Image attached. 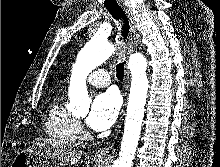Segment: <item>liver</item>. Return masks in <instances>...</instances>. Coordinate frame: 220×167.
<instances>
[{
	"instance_id": "liver-1",
	"label": "liver",
	"mask_w": 220,
	"mask_h": 167,
	"mask_svg": "<svg viewBox=\"0 0 220 167\" xmlns=\"http://www.w3.org/2000/svg\"><path fill=\"white\" fill-rule=\"evenodd\" d=\"M24 151L33 153L38 160L46 165L53 162L54 165H74L82 157L83 152L72 147H63L51 139L36 138L31 146Z\"/></svg>"
}]
</instances>
